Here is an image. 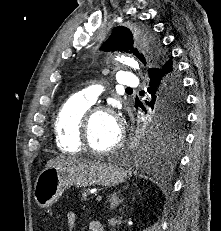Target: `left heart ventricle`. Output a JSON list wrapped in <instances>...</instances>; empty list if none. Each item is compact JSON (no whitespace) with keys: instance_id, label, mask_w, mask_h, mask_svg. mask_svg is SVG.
<instances>
[{"instance_id":"b2bd125f","label":"left heart ventricle","mask_w":221,"mask_h":231,"mask_svg":"<svg viewBox=\"0 0 221 231\" xmlns=\"http://www.w3.org/2000/svg\"><path fill=\"white\" fill-rule=\"evenodd\" d=\"M119 128L115 119L106 113L97 114L90 126V144L102 150L112 146L118 138Z\"/></svg>"}]
</instances>
